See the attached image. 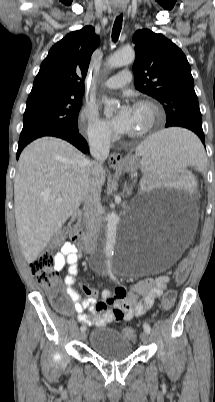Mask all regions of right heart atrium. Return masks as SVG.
<instances>
[{"mask_svg": "<svg viewBox=\"0 0 215 402\" xmlns=\"http://www.w3.org/2000/svg\"><path fill=\"white\" fill-rule=\"evenodd\" d=\"M80 123L88 139L96 144H107L112 138L109 126L90 107L80 113Z\"/></svg>", "mask_w": 215, "mask_h": 402, "instance_id": "1", "label": "right heart atrium"}]
</instances>
